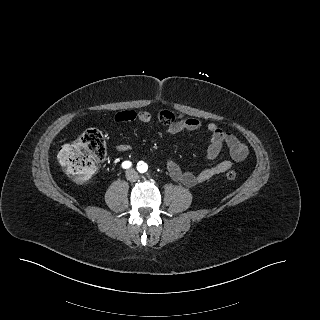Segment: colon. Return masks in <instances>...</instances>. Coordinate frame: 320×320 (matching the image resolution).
<instances>
[{
    "mask_svg": "<svg viewBox=\"0 0 320 320\" xmlns=\"http://www.w3.org/2000/svg\"><path fill=\"white\" fill-rule=\"evenodd\" d=\"M106 156V143L103 134L96 128L85 130L73 143L66 144L58 152V161L74 181L86 183L95 174L98 164ZM228 180H235L233 170L225 173Z\"/></svg>",
    "mask_w": 320,
    "mask_h": 320,
    "instance_id": "obj_1",
    "label": "colon"
}]
</instances>
